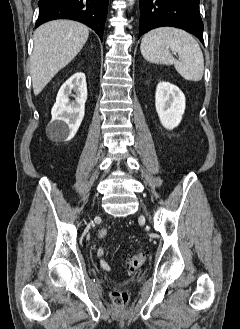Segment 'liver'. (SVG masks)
I'll list each match as a JSON object with an SVG mask.
<instances>
[{
    "label": "liver",
    "instance_id": "6515ba94",
    "mask_svg": "<svg viewBox=\"0 0 240 329\" xmlns=\"http://www.w3.org/2000/svg\"><path fill=\"white\" fill-rule=\"evenodd\" d=\"M88 27L70 20H54L41 25L34 33L30 73L35 95L68 65L85 45Z\"/></svg>",
    "mask_w": 240,
    "mask_h": 329
}]
</instances>
